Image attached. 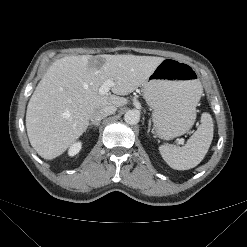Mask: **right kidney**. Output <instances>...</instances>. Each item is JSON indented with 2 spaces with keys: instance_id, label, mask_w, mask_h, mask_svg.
I'll list each match as a JSON object with an SVG mask.
<instances>
[{
  "instance_id": "obj_1",
  "label": "right kidney",
  "mask_w": 247,
  "mask_h": 247,
  "mask_svg": "<svg viewBox=\"0 0 247 247\" xmlns=\"http://www.w3.org/2000/svg\"><path fill=\"white\" fill-rule=\"evenodd\" d=\"M81 142H76L74 144H72L69 148L68 154L69 156H74L77 153H79V151L81 150Z\"/></svg>"
}]
</instances>
